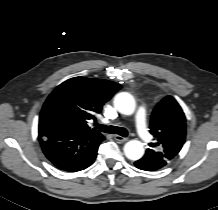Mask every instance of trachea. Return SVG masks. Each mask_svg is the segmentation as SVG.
<instances>
[{
    "instance_id": "trachea-1",
    "label": "trachea",
    "mask_w": 218,
    "mask_h": 210,
    "mask_svg": "<svg viewBox=\"0 0 218 210\" xmlns=\"http://www.w3.org/2000/svg\"><path fill=\"white\" fill-rule=\"evenodd\" d=\"M101 132L110 133V134H118L122 137H127L128 131L123 127L117 126H106L102 124L95 125Z\"/></svg>"
}]
</instances>
